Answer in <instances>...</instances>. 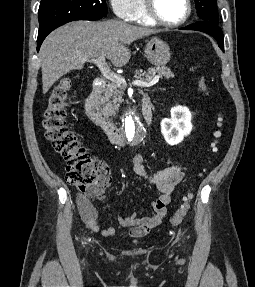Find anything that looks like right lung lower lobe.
Wrapping results in <instances>:
<instances>
[{
    "mask_svg": "<svg viewBox=\"0 0 255 287\" xmlns=\"http://www.w3.org/2000/svg\"><path fill=\"white\" fill-rule=\"evenodd\" d=\"M68 22H71V21H64V22H60V23H56V24H52V25H48V26L40 28L38 32V39H37V51H39L43 40L51 31H53L57 27L62 26Z\"/></svg>",
    "mask_w": 255,
    "mask_h": 287,
    "instance_id": "right-lung-lower-lobe-1",
    "label": "right lung lower lobe"
}]
</instances>
